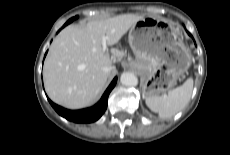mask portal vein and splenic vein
I'll use <instances>...</instances> for the list:
<instances>
[{
	"mask_svg": "<svg viewBox=\"0 0 230 155\" xmlns=\"http://www.w3.org/2000/svg\"><path fill=\"white\" fill-rule=\"evenodd\" d=\"M102 49H103V51L107 50V44H106V38L105 37L102 40Z\"/></svg>",
	"mask_w": 230,
	"mask_h": 155,
	"instance_id": "1",
	"label": "portal vein and splenic vein"
}]
</instances>
